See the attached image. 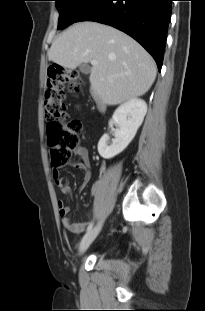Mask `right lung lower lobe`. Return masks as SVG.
Returning a JSON list of instances; mask_svg holds the SVG:
<instances>
[{"label":"right lung lower lobe","mask_w":205,"mask_h":311,"mask_svg":"<svg viewBox=\"0 0 205 311\" xmlns=\"http://www.w3.org/2000/svg\"><path fill=\"white\" fill-rule=\"evenodd\" d=\"M173 0H96L76 21L111 25L138 41L161 70Z\"/></svg>","instance_id":"obj_1"}]
</instances>
